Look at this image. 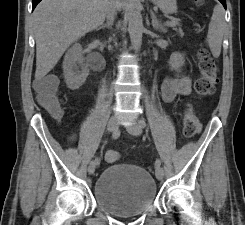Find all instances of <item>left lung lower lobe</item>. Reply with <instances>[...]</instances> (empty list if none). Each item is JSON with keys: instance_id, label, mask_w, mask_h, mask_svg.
<instances>
[{"instance_id": "0a47b994", "label": "left lung lower lobe", "mask_w": 245, "mask_h": 225, "mask_svg": "<svg viewBox=\"0 0 245 225\" xmlns=\"http://www.w3.org/2000/svg\"><path fill=\"white\" fill-rule=\"evenodd\" d=\"M222 4H223V6L226 8V0H219Z\"/></svg>"}]
</instances>
